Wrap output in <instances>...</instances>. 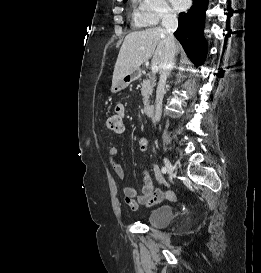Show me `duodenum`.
Returning a JSON list of instances; mask_svg holds the SVG:
<instances>
[{
  "mask_svg": "<svg viewBox=\"0 0 261 273\" xmlns=\"http://www.w3.org/2000/svg\"><path fill=\"white\" fill-rule=\"evenodd\" d=\"M144 114L147 116H152L154 114V106L151 103H147L143 108Z\"/></svg>",
  "mask_w": 261,
  "mask_h": 273,
  "instance_id": "obj_1",
  "label": "duodenum"
}]
</instances>
